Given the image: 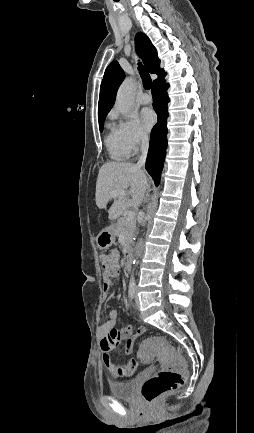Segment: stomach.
Returning <instances> with one entry per match:
<instances>
[{
    "instance_id": "0dacf381",
    "label": "stomach",
    "mask_w": 254,
    "mask_h": 433,
    "mask_svg": "<svg viewBox=\"0 0 254 433\" xmlns=\"http://www.w3.org/2000/svg\"><path fill=\"white\" fill-rule=\"evenodd\" d=\"M115 241V230L113 227L103 229L96 238L97 246L100 249L109 248Z\"/></svg>"
}]
</instances>
